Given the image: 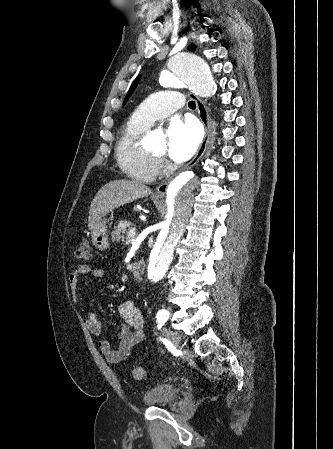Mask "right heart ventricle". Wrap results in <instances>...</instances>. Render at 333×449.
Here are the masks:
<instances>
[{
	"label": "right heart ventricle",
	"instance_id": "1",
	"mask_svg": "<svg viewBox=\"0 0 333 449\" xmlns=\"http://www.w3.org/2000/svg\"><path fill=\"white\" fill-rule=\"evenodd\" d=\"M148 130V126L132 117L120 131L115 147L122 170L140 182H152L160 172L158 158L142 145Z\"/></svg>",
	"mask_w": 333,
	"mask_h": 449
}]
</instances>
